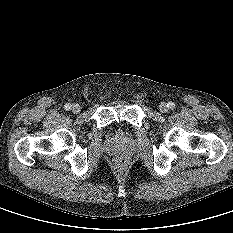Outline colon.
Here are the masks:
<instances>
[{
  "label": "colon",
  "mask_w": 233,
  "mask_h": 233,
  "mask_svg": "<svg viewBox=\"0 0 233 233\" xmlns=\"http://www.w3.org/2000/svg\"><path fill=\"white\" fill-rule=\"evenodd\" d=\"M127 161L125 158L121 157L116 160V165L118 167H124L126 165Z\"/></svg>",
  "instance_id": "1"
}]
</instances>
